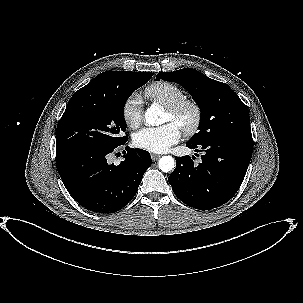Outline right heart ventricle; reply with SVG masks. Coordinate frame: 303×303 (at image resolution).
Returning <instances> with one entry per match:
<instances>
[{
	"label": "right heart ventricle",
	"mask_w": 303,
	"mask_h": 303,
	"mask_svg": "<svg viewBox=\"0 0 303 303\" xmlns=\"http://www.w3.org/2000/svg\"><path fill=\"white\" fill-rule=\"evenodd\" d=\"M145 95L152 102L164 107L171 106L185 98V93L180 87L167 81H158L150 84L145 89Z\"/></svg>",
	"instance_id": "right-heart-ventricle-1"
}]
</instances>
